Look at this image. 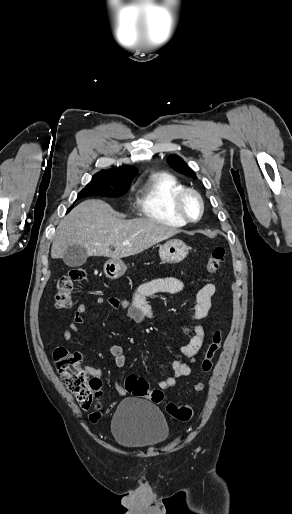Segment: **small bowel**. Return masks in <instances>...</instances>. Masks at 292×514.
I'll return each mask as SVG.
<instances>
[{
    "label": "small bowel",
    "mask_w": 292,
    "mask_h": 514,
    "mask_svg": "<svg viewBox=\"0 0 292 514\" xmlns=\"http://www.w3.org/2000/svg\"><path fill=\"white\" fill-rule=\"evenodd\" d=\"M185 288V282L182 279L169 277L159 278L148 282H144L136 286L130 298H119L116 296L104 297L97 296L94 302L97 306L107 305L110 308L123 312L127 319L138 324L155 319V314L147 302L149 296L156 294L179 293ZM216 287L212 283L205 284L197 293L196 306L192 313V320L197 322L193 325V336L189 343L182 348V353L186 357L185 361L176 360L172 363L173 374L158 382L157 386L160 390H167L174 387L177 381L189 376L192 366L206 340L207 326L211 322L212 317L210 310L212 307V297L215 294ZM88 306L85 303L77 305L73 315V321L69 327L64 330L63 338L71 341L78 331L79 327L85 323L84 315ZM202 321V323H199ZM109 351L114 357L115 365L123 367L126 363V355L123 347L119 344L112 343L109 345ZM89 373L95 377L101 376L100 366L98 364H89L86 366ZM114 390L120 396H125L127 391L120 381L114 383ZM114 405L118 404L117 400L113 401ZM113 406L109 405L105 412L110 414Z\"/></svg>",
    "instance_id": "c3829d8e"
}]
</instances>
